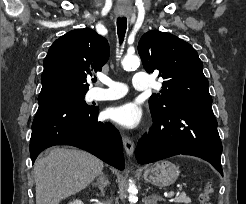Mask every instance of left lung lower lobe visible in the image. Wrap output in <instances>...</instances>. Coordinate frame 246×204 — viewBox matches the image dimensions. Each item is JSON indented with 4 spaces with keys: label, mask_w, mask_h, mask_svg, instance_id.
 I'll return each instance as SVG.
<instances>
[{
    "label": "left lung lower lobe",
    "mask_w": 246,
    "mask_h": 204,
    "mask_svg": "<svg viewBox=\"0 0 246 204\" xmlns=\"http://www.w3.org/2000/svg\"><path fill=\"white\" fill-rule=\"evenodd\" d=\"M152 118L151 130L141 138L135 151L140 164L174 155H192L211 163L223 176L222 144L211 104L175 105L162 116Z\"/></svg>",
    "instance_id": "left-lung-lower-lobe-1"
}]
</instances>
